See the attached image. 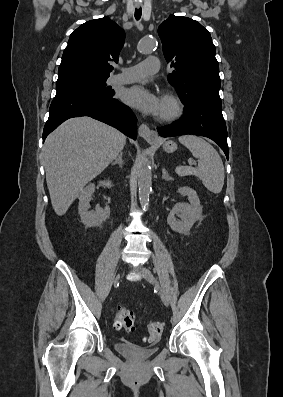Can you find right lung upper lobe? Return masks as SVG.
Here are the masks:
<instances>
[{
  "mask_svg": "<svg viewBox=\"0 0 283 397\" xmlns=\"http://www.w3.org/2000/svg\"><path fill=\"white\" fill-rule=\"evenodd\" d=\"M125 41L124 30L108 17L82 24L64 49L58 80L75 76L108 77L118 62Z\"/></svg>",
  "mask_w": 283,
  "mask_h": 397,
  "instance_id": "cb5924a9",
  "label": "right lung upper lobe"
}]
</instances>
